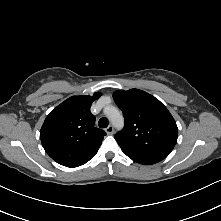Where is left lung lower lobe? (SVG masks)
<instances>
[{
    "mask_svg": "<svg viewBox=\"0 0 221 221\" xmlns=\"http://www.w3.org/2000/svg\"><path fill=\"white\" fill-rule=\"evenodd\" d=\"M123 153L126 154L133 161L140 163V164H144V165L154 164L163 160V158L144 155V154L135 153L131 151H123Z\"/></svg>",
    "mask_w": 221,
    "mask_h": 221,
    "instance_id": "left-lung-lower-lobe-1",
    "label": "left lung lower lobe"
}]
</instances>
